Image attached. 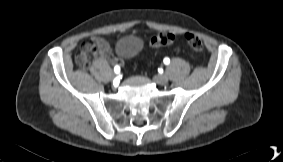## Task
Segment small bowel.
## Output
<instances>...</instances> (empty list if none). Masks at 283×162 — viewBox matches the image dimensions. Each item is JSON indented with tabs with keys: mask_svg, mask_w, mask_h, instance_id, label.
I'll list each match as a JSON object with an SVG mask.
<instances>
[{
	"mask_svg": "<svg viewBox=\"0 0 283 162\" xmlns=\"http://www.w3.org/2000/svg\"><path fill=\"white\" fill-rule=\"evenodd\" d=\"M93 51L97 59L109 62L113 61L108 42L100 36H92L90 40L82 46V53L90 54Z\"/></svg>",
	"mask_w": 283,
	"mask_h": 162,
	"instance_id": "obj_1",
	"label": "small bowel"
}]
</instances>
